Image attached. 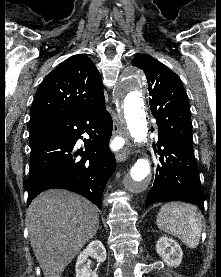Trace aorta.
<instances>
[{
    "instance_id": "obj_1",
    "label": "aorta",
    "mask_w": 221,
    "mask_h": 277,
    "mask_svg": "<svg viewBox=\"0 0 221 277\" xmlns=\"http://www.w3.org/2000/svg\"><path fill=\"white\" fill-rule=\"evenodd\" d=\"M144 75L134 67L126 68L116 87L127 124V129L134 142H144L147 139V120L143 100ZM151 182L150 162L140 158L131 167L125 179V191L136 194L146 190Z\"/></svg>"
}]
</instances>
